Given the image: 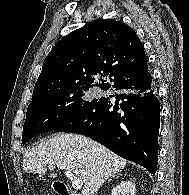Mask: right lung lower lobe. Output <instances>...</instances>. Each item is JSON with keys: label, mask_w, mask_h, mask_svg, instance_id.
Segmentation results:
<instances>
[{"label": "right lung lower lobe", "mask_w": 189, "mask_h": 195, "mask_svg": "<svg viewBox=\"0 0 189 195\" xmlns=\"http://www.w3.org/2000/svg\"><path fill=\"white\" fill-rule=\"evenodd\" d=\"M118 93L101 97L53 131L86 135L117 155L157 170L160 106L147 67L141 74L106 87Z\"/></svg>", "instance_id": "98d812e1"}]
</instances>
